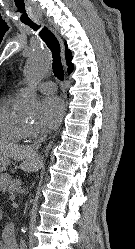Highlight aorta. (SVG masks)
I'll return each mask as SVG.
<instances>
[{"instance_id": "762f6f07", "label": "aorta", "mask_w": 135, "mask_h": 249, "mask_svg": "<svg viewBox=\"0 0 135 249\" xmlns=\"http://www.w3.org/2000/svg\"><path fill=\"white\" fill-rule=\"evenodd\" d=\"M51 65L49 53L45 49H36L27 59L25 65V77L28 82L36 83L41 81L48 73ZM22 109L29 115H36L39 101L34 90L26 91L20 99Z\"/></svg>"}]
</instances>
